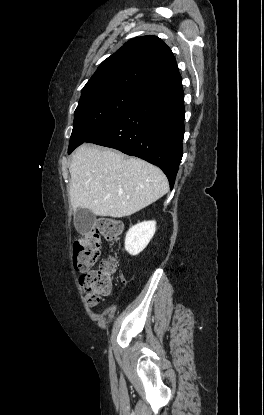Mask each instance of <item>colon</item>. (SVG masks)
<instances>
[{"label": "colon", "instance_id": "1", "mask_svg": "<svg viewBox=\"0 0 264 415\" xmlns=\"http://www.w3.org/2000/svg\"><path fill=\"white\" fill-rule=\"evenodd\" d=\"M122 228L119 220L103 218L73 245V265L79 272V285L88 307H96L101 297L108 296L111 292L112 277L117 269L115 261L107 258L98 265L96 263L102 241L116 242Z\"/></svg>", "mask_w": 264, "mask_h": 415}]
</instances>
